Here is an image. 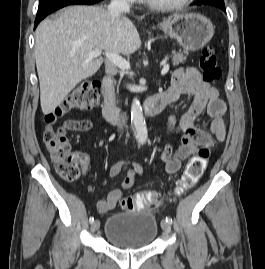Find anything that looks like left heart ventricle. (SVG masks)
I'll use <instances>...</instances> for the list:
<instances>
[{"mask_svg":"<svg viewBox=\"0 0 265 269\" xmlns=\"http://www.w3.org/2000/svg\"><path fill=\"white\" fill-rule=\"evenodd\" d=\"M157 2H161V3H167V2H177V1H180V0H155Z\"/></svg>","mask_w":265,"mask_h":269,"instance_id":"obj_1","label":"left heart ventricle"}]
</instances>
